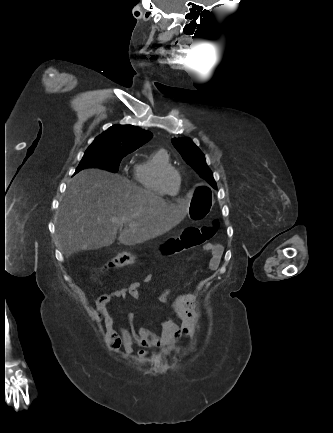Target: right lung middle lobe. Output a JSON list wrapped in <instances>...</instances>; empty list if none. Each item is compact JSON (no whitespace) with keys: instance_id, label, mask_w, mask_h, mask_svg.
I'll use <instances>...</instances> for the list:
<instances>
[{"instance_id":"1","label":"right lung middle lobe","mask_w":333,"mask_h":433,"mask_svg":"<svg viewBox=\"0 0 333 433\" xmlns=\"http://www.w3.org/2000/svg\"><path fill=\"white\" fill-rule=\"evenodd\" d=\"M127 154L129 153H124L115 149L89 146L84 153L76 173L88 167H98L111 172H117L122 158Z\"/></svg>"}]
</instances>
